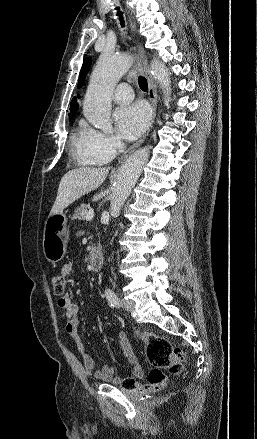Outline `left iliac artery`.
<instances>
[{
	"instance_id": "left-iliac-artery-1",
	"label": "left iliac artery",
	"mask_w": 257,
	"mask_h": 439,
	"mask_svg": "<svg viewBox=\"0 0 257 439\" xmlns=\"http://www.w3.org/2000/svg\"><path fill=\"white\" fill-rule=\"evenodd\" d=\"M105 294H106V298L109 301V303L111 304V306H113V307H119L120 306L119 299H118L117 295L114 293L113 290L108 288V289L105 290Z\"/></svg>"
}]
</instances>
